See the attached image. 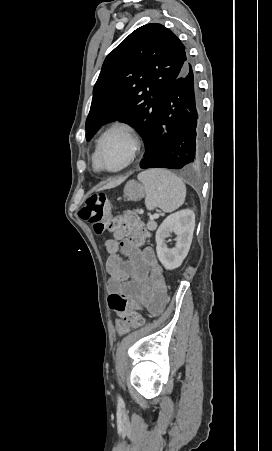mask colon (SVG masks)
Returning <instances> with one entry per match:
<instances>
[{
	"instance_id": "1",
	"label": "colon",
	"mask_w": 272,
	"mask_h": 451,
	"mask_svg": "<svg viewBox=\"0 0 272 451\" xmlns=\"http://www.w3.org/2000/svg\"><path fill=\"white\" fill-rule=\"evenodd\" d=\"M108 207L106 194L95 192L87 197L84 206L79 209L78 215L82 220L91 224L94 231L99 235L106 231L130 229V239L133 243H141L149 237V232L134 219V214L130 211L120 215H111L106 220ZM118 236L123 238L125 233L120 231ZM108 311L109 313H117L121 331H126L129 327L137 328L144 323V319L125 295L115 294L112 298H109Z\"/></svg>"
}]
</instances>
